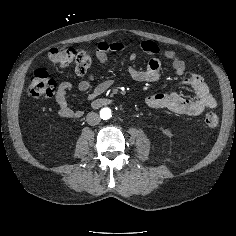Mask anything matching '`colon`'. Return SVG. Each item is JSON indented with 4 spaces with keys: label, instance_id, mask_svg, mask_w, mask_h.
<instances>
[{
    "label": "colon",
    "instance_id": "colon-1",
    "mask_svg": "<svg viewBox=\"0 0 236 236\" xmlns=\"http://www.w3.org/2000/svg\"><path fill=\"white\" fill-rule=\"evenodd\" d=\"M51 61L59 67L74 65L78 74H85L92 65L91 56L85 51L75 50L71 47H57L49 52ZM56 90V82L49 76L45 68L33 72L29 80L28 91L33 98L50 97ZM204 122L209 128L219 124V116L215 112H208Z\"/></svg>",
    "mask_w": 236,
    "mask_h": 236
}]
</instances>
